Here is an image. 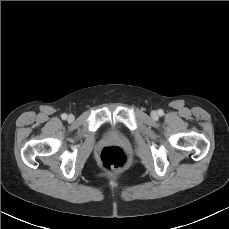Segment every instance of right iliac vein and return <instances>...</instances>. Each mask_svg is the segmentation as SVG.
<instances>
[{"instance_id":"63e3f726","label":"right iliac vein","mask_w":229,"mask_h":229,"mask_svg":"<svg viewBox=\"0 0 229 229\" xmlns=\"http://www.w3.org/2000/svg\"><path fill=\"white\" fill-rule=\"evenodd\" d=\"M74 120V116L72 115V114H70L69 116H68V121L69 122H72Z\"/></svg>"}]
</instances>
